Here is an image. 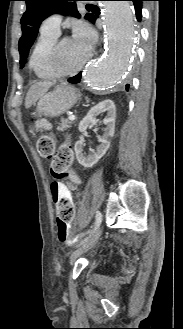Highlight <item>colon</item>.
I'll list each match as a JSON object with an SVG mask.
<instances>
[{"label": "colon", "mask_w": 183, "mask_h": 329, "mask_svg": "<svg viewBox=\"0 0 183 329\" xmlns=\"http://www.w3.org/2000/svg\"><path fill=\"white\" fill-rule=\"evenodd\" d=\"M33 123L42 131H48L50 129L49 123L43 119H33ZM37 149L41 156L52 158L50 172L54 177L55 182L62 181L66 178H71L73 181H77L76 174L71 170L73 151L70 144H62L56 150V141L54 136L50 133H45L39 137L37 141ZM72 220L73 218H56L58 238L61 242H65L70 238L68 227Z\"/></svg>", "instance_id": "5ec220e1"}]
</instances>
